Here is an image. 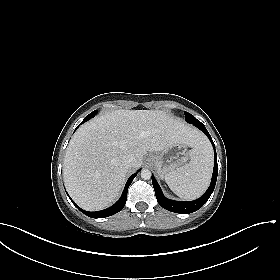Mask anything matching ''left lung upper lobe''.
<instances>
[{
  "mask_svg": "<svg viewBox=\"0 0 280 280\" xmlns=\"http://www.w3.org/2000/svg\"><path fill=\"white\" fill-rule=\"evenodd\" d=\"M185 120L188 122V123H191L193 124L194 122L195 123H198L200 122L199 120H197L193 115H191L190 113L188 112H185Z\"/></svg>",
  "mask_w": 280,
  "mask_h": 280,
  "instance_id": "5c2ea615",
  "label": "left lung upper lobe"
}]
</instances>
